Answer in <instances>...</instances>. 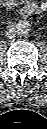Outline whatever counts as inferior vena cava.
<instances>
[{
  "instance_id": "602c4592",
  "label": "inferior vena cava",
  "mask_w": 47,
  "mask_h": 129,
  "mask_svg": "<svg viewBox=\"0 0 47 129\" xmlns=\"http://www.w3.org/2000/svg\"><path fill=\"white\" fill-rule=\"evenodd\" d=\"M15 33H16V31H15V29L14 28H9L7 31H6V37L7 38H13V37H15Z\"/></svg>"
}]
</instances>
